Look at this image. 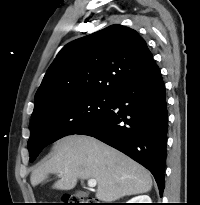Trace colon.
Listing matches in <instances>:
<instances>
[{
	"mask_svg": "<svg viewBox=\"0 0 200 205\" xmlns=\"http://www.w3.org/2000/svg\"><path fill=\"white\" fill-rule=\"evenodd\" d=\"M64 202L66 205H83L81 199L77 196H67L64 198Z\"/></svg>",
	"mask_w": 200,
	"mask_h": 205,
	"instance_id": "colon-1",
	"label": "colon"
}]
</instances>
